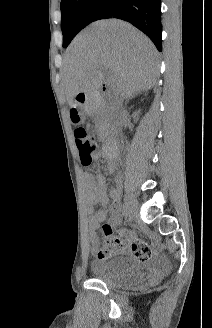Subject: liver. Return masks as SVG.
Returning <instances> with one entry per match:
<instances>
[{
    "mask_svg": "<svg viewBox=\"0 0 212 328\" xmlns=\"http://www.w3.org/2000/svg\"><path fill=\"white\" fill-rule=\"evenodd\" d=\"M157 57L150 39L127 22L108 19L90 24L65 54L62 74L69 104L79 93L90 95L101 88L104 67L111 71L113 91L122 98L151 89L159 75Z\"/></svg>",
    "mask_w": 212,
    "mask_h": 328,
    "instance_id": "1",
    "label": "liver"
}]
</instances>
